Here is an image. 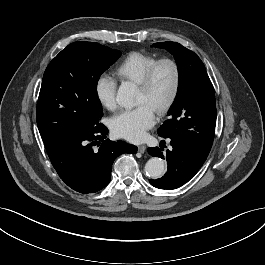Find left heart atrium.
Here are the masks:
<instances>
[{
	"instance_id": "obj_1",
	"label": "left heart atrium",
	"mask_w": 265,
	"mask_h": 265,
	"mask_svg": "<svg viewBox=\"0 0 265 265\" xmlns=\"http://www.w3.org/2000/svg\"><path fill=\"white\" fill-rule=\"evenodd\" d=\"M155 121V111L146 104H139L115 115L110 127L116 136L137 143L145 139L147 130L154 126Z\"/></svg>"
}]
</instances>
